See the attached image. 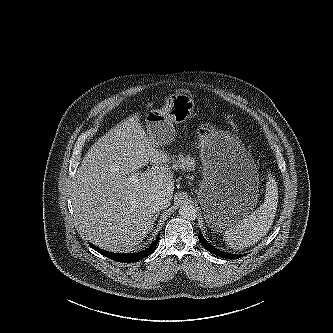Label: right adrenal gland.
<instances>
[{
    "instance_id": "right-adrenal-gland-1",
    "label": "right adrenal gland",
    "mask_w": 333,
    "mask_h": 333,
    "mask_svg": "<svg viewBox=\"0 0 333 333\" xmlns=\"http://www.w3.org/2000/svg\"><path fill=\"white\" fill-rule=\"evenodd\" d=\"M158 215H159V212H157V213L153 216V219H152V227H153L154 222H155L156 218L158 217Z\"/></svg>"
}]
</instances>
